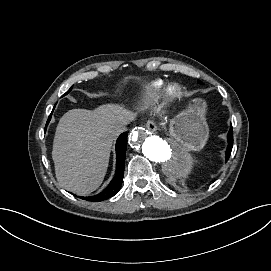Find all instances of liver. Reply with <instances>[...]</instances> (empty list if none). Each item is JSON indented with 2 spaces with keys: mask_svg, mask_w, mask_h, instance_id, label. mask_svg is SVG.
<instances>
[{
  "mask_svg": "<svg viewBox=\"0 0 271 271\" xmlns=\"http://www.w3.org/2000/svg\"><path fill=\"white\" fill-rule=\"evenodd\" d=\"M131 120L132 112L113 105L64 114L52 152L59 184L80 195L96 190L105 176L116 130Z\"/></svg>",
  "mask_w": 271,
  "mask_h": 271,
  "instance_id": "obj_1",
  "label": "liver"
}]
</instances>
